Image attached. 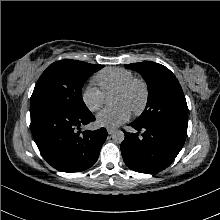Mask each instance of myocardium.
Segmentation results:
<instances>
[{"mask_svg": "<svg viewBox=\"0 0 220 220\" xmlns=\"http://www.w3.org/2000/svg\"><path fill=\"white\" fill-rule=\"evenodd\" d=\"M135 87H140L142 91V101L140 105L132 110L134 115H140L144 112L147 107L148 100H149V88L146 81L142 78L134 77L127 83H125L122 87L116 90L115 94H127L132 91Z\"/></svg>", "mask_w": 220, "mask_h": 220, "instance_id": "1", "label": "myocardium"}]
</instances>
